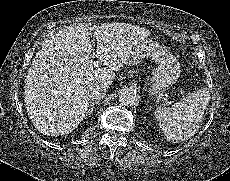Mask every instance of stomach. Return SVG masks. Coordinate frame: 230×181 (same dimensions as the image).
Listing matches in <instances>:
<instances>
[{"instance_id":"0dacf381","label":"stomach","mask_w":230,"mask_h":181,"mask_svg":"<svg viewBox=\"0 0 230 181\" xmlns=\"http://www.w3.org/2000/svg\"><path fill=\"white\" fill-rule=\"evenodd\" d=\"M153 43L146 42L141 45L138 53H146ZM157 67L152 72L150 93L161 96L176 81L179 74V65L174 56L163 48L160 49L157 58Z\"/></svg>"}]
</instances>
